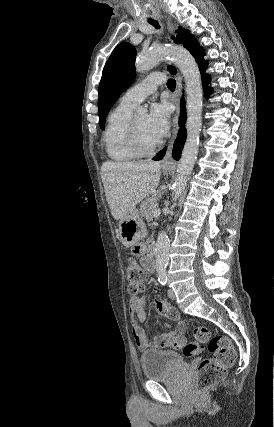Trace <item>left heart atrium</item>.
Segmentation results:
<instances>
[{"instance_id": "obj_1", "label": "left heart atrium", "mask_w": 274, "mask_h": 427, "mask_svg": "<svg viewBox=\"0 0 274 427\" xmlns=\"http://www.w3.org/2000/svg\"><path fill=\"white\" fill-rule=\"evenodd\" d=\"M170 111L165 103H155L151 106L148 114L147 127L150 134L161 139L169 130Z\"/></svg>"}]
</instances>
